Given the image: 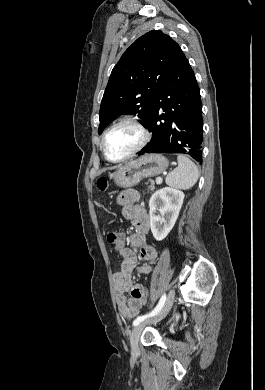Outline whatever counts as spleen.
I'll return each mask as SVG.
<instances>
[{
  "label": "spleen",
  "instance_id": "3e777b00",
  "mask_svg": "<svg viewBox=\"0 0 265 390\" xmlns=\"http://www.w3.org/2000/svg\"><path fill=\"white\" fill-rule=\"evenodd\" d=\"M177 161L178 166L168 174L166 184L184 190L193 187L199 178L197 166L183 155H179Z\"/></svg>",
  "mask_w": 265,
  "mask_h": 390
}]
</instances>
